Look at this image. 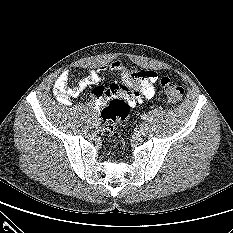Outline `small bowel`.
Masks as SVG:
<instances>
[{"mask_svg":"<svg viewBox=\"0 0 233 233\" xmlns=\"http://www.w3.org/2000/svg\"><path fill=\"white\" fill-rule=\"evenodd\" d=\"M130 68L122 61H115L108 66L101 67L99 70L91 71L87 76L81 78L77 85L70 87L68 81L70 71H63L54 82L53 93L59 103L69 105L73 98H76L87 87L97 85L101 81V72L115 71L121 75L122 83H113L109 87L97 85L91 91L90 105L99 109L106 99L117 95H122L128 101L130 108L136 106L145 99H150L155 94L156 74L153 71H147L150 77L142 82L136 91H131L133 82L129 77Z\"/></svg>","mask_w":233,"mask_h":233,"instance_id":"small-bowel-1","label":"small bowel"}]
</instances>
